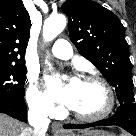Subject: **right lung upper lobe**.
Masks as SVG:
<instances>
[{"instance_id":"1","label":"right lung upper lobe","mask_w":136,"mask_h":136,"mask_svg":"<svg viewBox=\"0 0 136 136\" xmlns=\"http://www.w3.org/2000/svg\"><path fill=\"white\" fill-rule=\"evenodd\" d=\"M30 28L22 0H0V64H25Z\"/></svg>"}]
</instances>
